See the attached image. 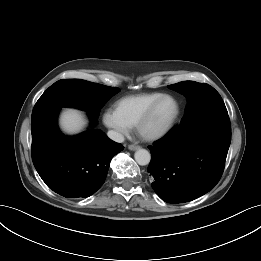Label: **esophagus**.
<instances>
[{
  "instance_id": "esophagus-1",
  "label": "esophagus",
  "mask_w": 261,
  "mask_h": 261,
  "mask_svg": "<svg viewBox=\"0 0 261 261\" xmlns=\"http://www.w3.org/2000/svg\"><path fill=\"white\" fill-rule=\"evenodd\" d=\"M139 148H140L139 145H134V144L128 145V149L131 150V151H135V150H137Z\"/></svg>"
}]
</instances>
